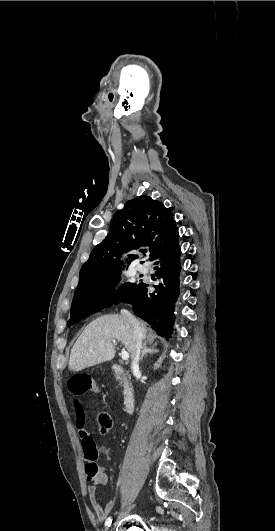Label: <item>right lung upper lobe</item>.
<instances>
[{
  "instance_id": "1",
  "label": "right lung upper lobe",
  "mask_w": 275,
  "mask_h": 531,
  "mask_svg": "<svg viewBox=\"0 0 275 531\" xmlns=\"http://www.w3.org/2000/svg\"><path fill=\"white\" fill-rule=\"evenodd\" d=\"M175 228L173 214L161 202L149 196L127 201L115 214L107 237L94 247L82 266L77 288L95 277L122 269V255L133 249L147 246L151 256ZM128 256L130 261L136 258Z\"/></svg>"
}]
</instances>
